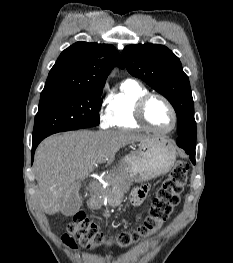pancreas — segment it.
Returning a JSON list of instances; mask_svg holds the SVG:
<instances>
[{"label": "pancreas", "mask_w": 233, "mask_h": 263, "mask_svg": "<svg viewBox=\"0 0 233 263\" xmlns=\"http://www.w3.org/2000/svg\"><path fill=\"white\" fill-rule=\"evenodd\" d=\"M112 182L115 184L114 189H107L104 190L101 188L100 194H105L103 198L106 196L107 197V202L109 205L116 206L120 203L123 192L121 191V183H122V178L120 176H115L112 179Z\"/></svg>", "instance_id": "cf45deb5"}]
</instances>
